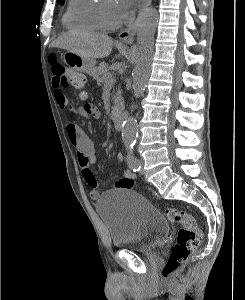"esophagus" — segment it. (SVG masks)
I'll return each instance as SVG.
<instances>
[{
    "instance_id": "1",
    "label": "esophagus",
    "mask_w": 245,
    "mask_h": 300,
    "mask_svg": "<svg viewBox=\"0 0 245 300\" xmlns=\"http://www.w3.org/2000/svg\"><path fill=\"white\" fill-rule=\"evenodd\" d=\"M152 0H143L142 6L140 8L139 14L137 19L130 24L126 29H124L123 31H121L119 33V40L122 42H132L134 40L136 31H137V27H138V22H139V18L140 15L142 13V11L147 8L150 4H151Z\"/></svg>"
}]
</instances>
